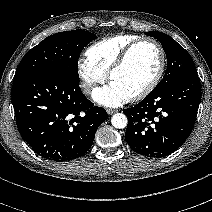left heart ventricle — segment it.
Instances as JSON below:
<instances>
[{"label": "left heart ventricle", "mask_w": 212, "mask_h": 212, "mask_svg": "<svg viewBox=\"0 0 212 212\" xmlns=\"http://www.w3.org/2000/svg\"><path fill=\"white\" fill-rule=\"evenodd\" d=\"M159 61V53L154 46L141 44L133 50L126 65L113 75L111 83L131 97L152 80Z\"/></svg>", "instance_id": "b2bd125f"}]
</instances>
